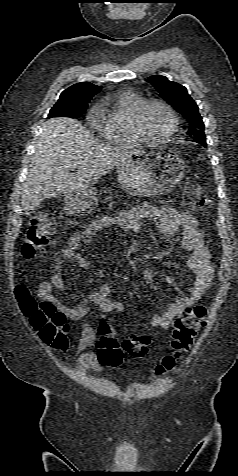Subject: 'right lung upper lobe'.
<instances>
[{
    "label": "right lung upper lobe",
    "mask_w": 238,
    "mask_h": 476,
    "mask_svg": "<svg viewBox=\"0 0 238 476\" xmlns=\"http://www.w3.org/2000/svg\"><path fill=\"white\" fill-rule=\"evenodd\" d=\"M100 90L101 86L94 85L90 82H80L64 90L59 100L67 99L75 103L88 105L92 97Z\"/></svg>",
    "instance_id": "right-lung-upper-lobe-1"
}]
</instances>
